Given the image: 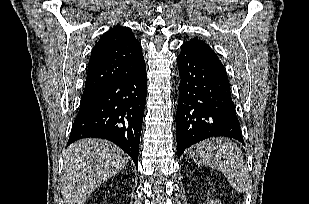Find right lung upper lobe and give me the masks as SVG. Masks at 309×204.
<instances>
[{
	"label": "right lung upper lobe",
	"mask_w": 309,
	"mask_h": 204,
	"mask_svg": "<svg viewBox=\"0 0 309 204\" xmlns=\"http://www.w3.org/2000/svg\"><path fill=\"white\" fill-rule=\"evenodd\" d=\"M145 66L141 44L129 27L107 31L93 47L84 91L135 73Z\"/></svg>",
	"instance_id": "right-lung-upper-lobe-1"
}]
</instances>
